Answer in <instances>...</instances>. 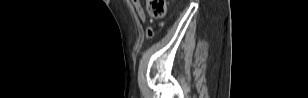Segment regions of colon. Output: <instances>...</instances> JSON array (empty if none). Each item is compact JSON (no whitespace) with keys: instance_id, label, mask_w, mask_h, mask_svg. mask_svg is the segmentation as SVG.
Wrapping results in <instances>:
<instances>
[{"instance_id":"obj_1","label":"colon","mask_w":308,"mask_h":98,"mask_svg":"<svg viewBox=\"0 0 308 98\" xmlns=\"http://www.w3.org/2000/svg\"><path fill=\"white\" fill-rule=\"evenodd\" d=\"M147 11L149 15L154 19H160L164 17L166 13V1L165 0H147ZM153 33L150 29L149 35L151 36Z\"/></svg>"}]
</instances>
